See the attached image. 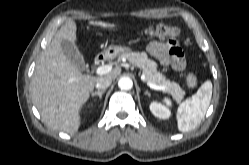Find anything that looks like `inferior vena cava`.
Masks as SVG:
<instances>
[{"instance_id": "inferior-vena-cava-1", "label": "inferior vena cava", "mask_w": 249, "mask_h": 165, "mask_svg": "<svg viewBox=\"0 0 249 165\" xmlns=\"http://www.w3.org/2000/svg\"><path fill=\"white\" fill-rule=\"evenodd\" d=\"M112 83V79L109 77H101L96 83V88L100 90H104L108 88Z\"/></svg>"}]
</instances>
